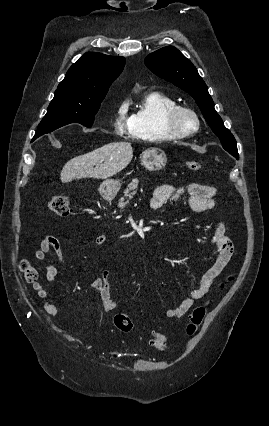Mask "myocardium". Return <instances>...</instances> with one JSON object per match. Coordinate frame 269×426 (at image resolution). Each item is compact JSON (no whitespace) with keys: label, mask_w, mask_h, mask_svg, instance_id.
Masks as SVG:
<instances>
[{"label":"myocardium","mask_w":269,"mask_h":426,"mask_svg":"<svg viewBox=\"0 0 269 426\" xmlns=\"http://www.w3.org/2000/svg\"><path fill=\"white\" fill-rule=\"evenodd\" d=\"M183 115H188L193 119V128H186L181 124L180 119ZM164 124L166 130L175 138H186L192 136L200 128V120L197 113L193 109L182 105H176L166 111Z\"/></svg>","instance_id":"1"}]
</instances>
